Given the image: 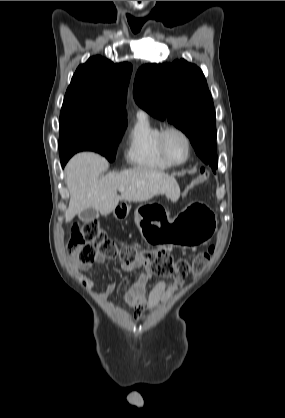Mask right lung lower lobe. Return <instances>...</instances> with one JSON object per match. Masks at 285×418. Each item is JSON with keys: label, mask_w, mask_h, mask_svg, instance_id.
<instances>
[{"label": "right lung lower lobe", "mask_w": 285, "mask_h": 418, "mask_svg": "<svg viewBox=\"0 0 285 418\" xmlns=\"http://www.w3.org/2000/svg\"><path fill=\"white\" fill-rule=\"evenodd\" d=\"M68 160H69V158H67V159H61L62 165L64 166L67 163Z\"/></svg>", "instance_id": "obj_1"}]
</instances>
